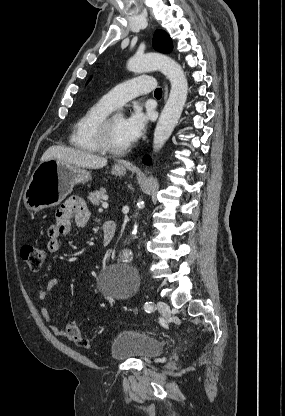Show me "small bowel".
Listing matches in <instances>:
<instances>
[{
	"label": "small bowel",
	"mask_w": 285,
	"mask_h": 416,
	"mask_svg": "<svg viewBox=\"0 0 285 416\" xmlns=\"http://www.w3.org/2000/svg\"><path fill=\"white\" fill-rule=\"evenodd\" d=\"M91 218V213L85 203L80 197H70L64 202L56 213V222L48 229L49 240L47 242V250L50 253H57L61 249L60 237L68 235L75 224L77 227H83ZM60 285V280L57 278L51 279L47 285L40 289L38 299L43 304H47L53 290ZM44 320L47 322L49 329L59 337L66 335L65 330L57 326L50 315L46 306L41 310Z\"/></svg>",
	"instance_id": "c3829d8e"
}]
</instances>
